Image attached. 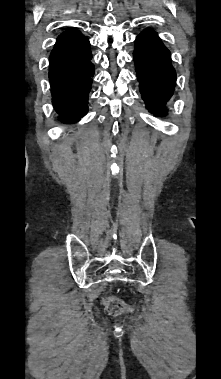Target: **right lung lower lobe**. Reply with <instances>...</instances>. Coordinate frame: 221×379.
Instances as JSON below:
<instances>
[{
  "label": "right lung lower lobe",
  "instance_id": "1",
  "mask_svg": "<svg viewBox=\"0 0 221 379\" xmlns=\"http://www.w3.org/2000/svg\"><path fill=\"white\" fill-rule=\"evenodd\" d=\"M88 39L78 30L64 31L50 55L49 80L53 105L65 123L79 121L88 111L94 65Z\"/></svg>",
  "mask_w": 221,
  "mask_h": 379
}]
</instances>
